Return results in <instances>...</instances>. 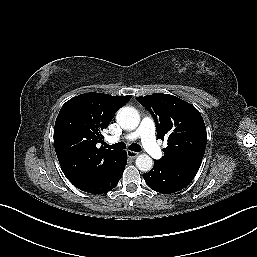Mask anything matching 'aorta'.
Listing matches in <instances>:
<instances>
[{
    "label": "aorta",
    "mask_w": 257,
    "mask_h": 257,
    "mask_svg": "<svg viewBox=\"0 0 257 257\" xmlns=\"http://www.w3.org/2000/svg\"><path fill=\"white\" fill-rule=\"evenodd\" d=\"M118 124L126 130H134L140 122V115L133 107H123L117 112ZM136 166L140 171L148 172L152 169L153 160L147 154H140L136 158Z\"/></svg>",
    "instance_id": "1"
}]
</instances>
